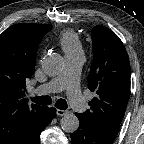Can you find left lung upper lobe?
<instances>
[{"label": "left lung upper lobe", "instance_id": "left-lung-upper-lobe-1", "mask_svg": "<svg viewBox=\"0 0 144 144\" xmlns=\"http://www.w3.org/2000/svg\"><path fill=\"white\" fill-rule=\"evenodd\" d=\"M93 63L88 88L96 92L90 110L79 114L94 128L117 135L130 95V62L122 41L110 29H92Z\"/></svg>", "mask_w": 144, "mask_h": 144}]
</instances>
